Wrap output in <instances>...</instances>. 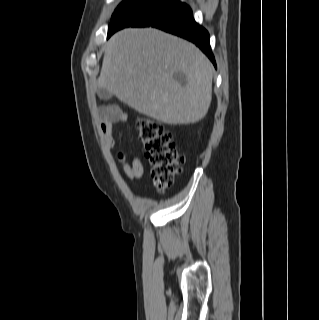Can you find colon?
I'll use <instances>...</instances> for the list:
<instances>
[{
	"mask_svg": "<svg viewBox=\"0 0 319 320\" xmlns=\"http://www.w3.org/2000/svg\"><path fill=\"white\" fill-rule=\"evenodd\" d=\"M135 128L150 164L154 183L158 189L165 190L173 183L183 164L176 143L163 125L152 118L137 119Z\"/></svg>",
	"mask_w": 319,
	"mask_h": 320,
	"instance_id": "obj_1",
	"label": "colon"
}]
</instances>
